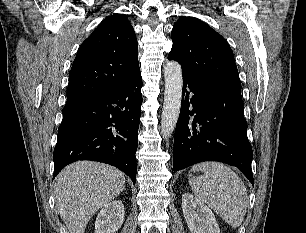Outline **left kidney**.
<instances>
[{
    "label": "left kidney",
    "mask_w": 306,
    "mask_h": 233,
    "mask_svg": "<svg viewBox=\"0 0 306 233\" xmlns=\"http://www.w3.org/2000/svg\"><path fill=\"white\" fill-rule=\"evenodd\" d=\"M182 210L191 233H220L210 208L187 192L182 195Z\"/></svg>",
    "instance_id": "obj_1"
}]
</instances>
